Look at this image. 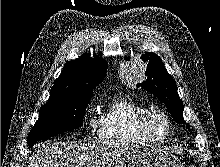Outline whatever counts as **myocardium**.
Instances as JSON below:
<instances>
[{
	"label": "myocardium",
	"instance_id": "myocardium-1",
	"mask_svg": "<svg viewBox=\"0 0 220 167\" xmlns=\"http://www.w3.org/2000/svg\"><path fill=\"white\" fill-rule=\"evenodd\" d=\"M154 119H160L166 125V133L162 136H156L153 133L151 123ZM140 130L148 142L160 143L165 141L172 133V123L169 117L159 110H147L140 120Z\"/></svg>",
	"mask_w": 220,
	"mask_h": 167
}]
</instances>
